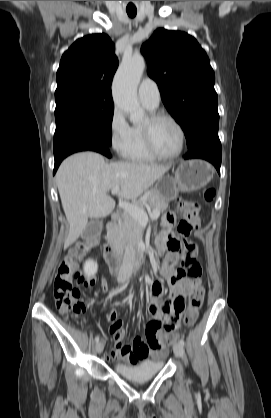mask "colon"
Returning a JSON list of instances; mask_svg holds the SVG:
<instances>
[{"label": "colon", "mask_w": 271, "mask_h": 418, "mask_svg": "<svg viewBox=\"0 0 271 418\" xmlns=\"http://www.w3.org/2000/svg\"><path fill=\"white\" fill-rule=\"evenodd\" d=\"M214 189L205 191L204 197L207 201L214 198ZM178 207L182 214V218L178 223V232L184 238L198 228L200 223V205L192 200L180 199ZM99 227L96 225L92 230V236L95 238L98 234ZM88 243H80L76 248L72 249L66 260L60 266L54 282V297L56 307L66 317L78 318L86 309L85 303L81 298L80 291L74 286V282L84 281L85 278L80 276L77 270V261L83 250L86 249ZM167 246L173 252L182 250L181 243L173 238L167 237ZM185 256L181 262V268L178 270V276L189 278H199L201 275V266L194 257L193 246L186 243L184 247ZM204 298V290L199 286L192 294L190 299V308L185 315L184 324L187 327L192 326L197 319L198 310L202 305ZM175 304L178 308L185 307V299L177 298ZM166 329H172L170 324L165 326Z\"/></svg>", "instance_id": "1"}]
</instances>
